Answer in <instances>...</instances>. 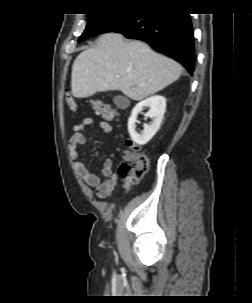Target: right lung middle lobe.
I'll return each instance as SVG.
<instances>
[{"label":"right lung middle lobe","mask_w":252,"mask_h":303,"mask_svg":"<svg viewBox=\"0 0 252 303\" xmlns=\"http://www.w3.org/2000/svg\"><path fill=\"white\" fill-rule=\"evenodd\" d=\"M126 10L119 12H107V13H91L88 14V22L84 33L80 36L78 42H81L91 36L100 34L101 31L109 24L115 21L119 16L124 14Z\"/></svg>","instance_id":"1"}]
</instances>
